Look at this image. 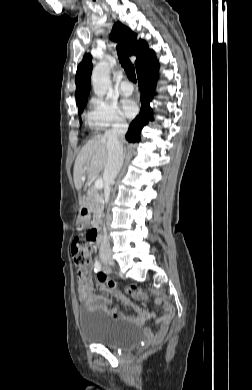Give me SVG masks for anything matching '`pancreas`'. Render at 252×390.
<instances>
[{
	"instance_id": "1",
	"label": "pancreas",
	"mask_w": 252,
	"mask_h": 390,
	"mask_svg": "<svg viewBox=\"0 0 252 390\" xmlns=\"http://www.w3.org/2000/svg\"><path fill=\"white\" fill-rule=\"evenodd\" d=\"M100 199H101V196L98 192H91L90 193V198H89V206L90 208L93 210V212H95V207L99 204L100 202Z\"/></svg>"
}]
</instances>
